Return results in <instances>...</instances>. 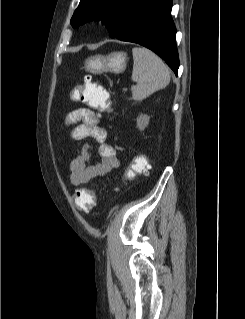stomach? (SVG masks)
I'll return each instance as SVG.
<instances>
[{"mask_svg":"<svg viewBox=\"0 0 245 319\" xmlns=\"http://www.w3.org/2000/svg\"><path fill=\"white\" fill-rule=\"evenodd\" d=\"M86 69L92 73H121L126 68V53L113 52L108 56L96 55L85 62Z\"/></svg>","mask_w":245,"mask_h":319,"instance_id":"stomach-1","label":"stomach"}]
</instances>
